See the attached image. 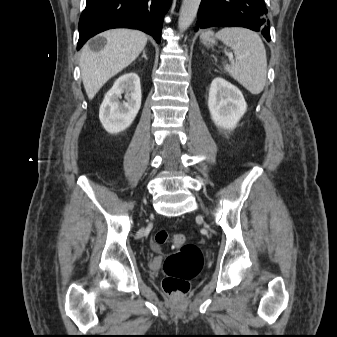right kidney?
<instances>
[{
  "label": "right kidney",
  "instance_id": "obj_1",
  "mask_svg": "<svg viewBox=\"0 0 337 337\" xmlns=\"http://www.w3.org/2000/svg\"><path fill=\"white\" fill-rule=\"evenodd\" d=\"M125 100L120 102L122 93ZM140 78L134 73L120 76L107 92L99 109V119L109 133H118L128 128L141 107Z\"/></svg>",
  "mask_w": 337,
  "mask_h": 337
}]
</instances>
